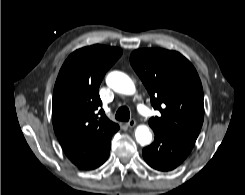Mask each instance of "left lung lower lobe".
Masks as SVG:
<instances>
[{
    "label": "left lung lower lobe",
    "mask_w": 245,
    "mask_h": 195,
    "mask_svg": "<svg viewBox=\"0 0 245 195\" xmlns=\"http://www.w3.org/2000/svg\"><path fill=\"white\" fill-rule=\"evenodd\" d=\"M154 133V143L143 149V157L156 170H173L185 160L195 144L170 131L154 130Z\"/></svg>",
    "instance_id": "obj_1"
}]
</instances>
